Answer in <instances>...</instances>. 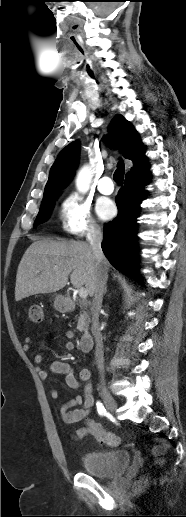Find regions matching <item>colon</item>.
I'll list each match as a JSON object with an SVG mask.
<instances>
[{
    "label": "colon",
    "instance_id": "colon-1",
    "mask_svg": "<svg viewBox=\"0 0 186 517\" xmlns=\"http://www.w3.org/2000/svg\"><path fill=\"white\" fill-rule=\"evenodd\" d=\"M29 320L33 323H41L43 320V310L39 304H32L28 309ZM98 440L108 447H117L119 445V438L103 429L98 430ZM156 457V463L161 465L163 460V450L160 447H154L152 450Z\"/></svg>",
    "mask_w": 186,
    "mask_h": 517
}]
</instances>
